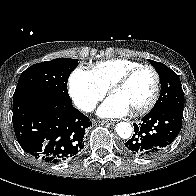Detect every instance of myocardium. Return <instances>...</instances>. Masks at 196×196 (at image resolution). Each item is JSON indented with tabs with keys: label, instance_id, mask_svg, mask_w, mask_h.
I'll return each mask as SVG.
<instances>
[{
	"label": "myocardium",
	"instance_id": "obj_1",
	"mask_svg": "<svg viewBox=\"0 0 196 196\" xmlns=\"http://www.w3.org/2000/svg\"><path fill=\"white\" fill-rule=\"evenodd\" d=\"M144 69L150 70L153 73L155 79V86H154L153 94L151 98L148 100V102L143 106L132 111V113L135 115L144 114L150 111L154 107V105L156 104L159 98L160 88H161V78L156 68L153 67L152 65L141 64L124 73L116 81H114L109 87V94L112 95L116 90L124 87L138 72Z\"/></svg>",
	"mask_w": 196,
	"mask_h": 196
}]
</instances>
